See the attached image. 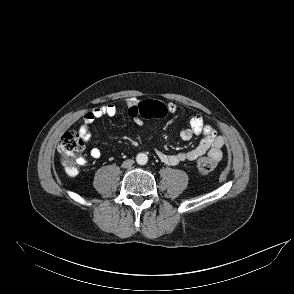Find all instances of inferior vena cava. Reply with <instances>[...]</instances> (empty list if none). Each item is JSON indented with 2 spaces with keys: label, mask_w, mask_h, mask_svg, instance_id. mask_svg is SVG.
Returning a JSON list of instances; mask_svg holds the SVG:
<instances>
[{
  "label": "inferior vena cava",
  "mask_w": 294,
  "mask_h": 294,
  "mask_svg": "<svg viewBox=\"0 0 294 294\" xmlns=\"http://www.w3.org/2000/svg\"><path fill=\"white\" fill-rule=\"evenodd\" d=\"M133 164H134V160L128 159V160H125L122 163L121 167H123V168H130Z\"/></svg>",
  "instance_id": "602c4592"
}]
</instances>
